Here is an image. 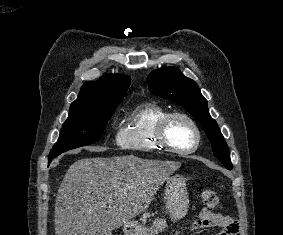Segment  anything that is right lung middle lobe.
Listing matches in <instances>:
<instances>
[{
	"label": "right lung middle lobe",
	"mask_w": 283,
	"mask_h": 235,
	"mask_svg": "<svg viewBox=\"0 0 283 235\" xmlns=\"http://www.w3.org/2000/svg\"><path fill=\"white\" fill-rule=\"evenodd\" d=\"M119 103L71 105L58 141L48 156V163L63 152L97 142Z\"/></svg>",
	"instance_id": "right-lung-middle-lobe-1"
}]
</instances>
